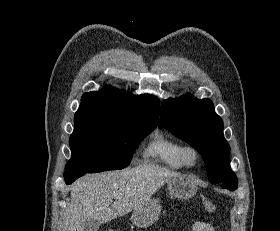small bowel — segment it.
I'll use <instances>...</instances> for the list:
<instances>
[{
	"instance_id": "c3829d8e",
	"label": "small bowel",
	"mask_w": 280,
	"mask_h": 231,
	"mask_svg": "<svg viewBox=\"0 0 280 231\" xmlns=\"http://www.w3.org/2000/svg\"><path fill=\"white\" fill-rule=\"evenodd\" d=\"M188 231H215V228L210 223L204 221H197L191 225Z\"/></svg>"
}]
</instances>
